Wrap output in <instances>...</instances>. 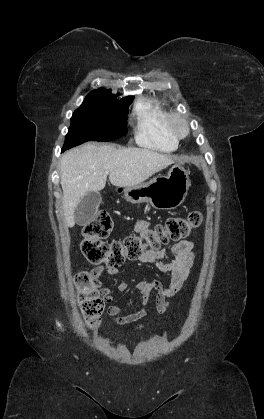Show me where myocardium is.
<instances>
[{"mask_svg": "<svg viewBox=\"0 0 264 419\" xmlns=\"http://www.w3.org/2000/svg\"><path fill=\"white\" fill-rule=\"evenodd\" d=\"M166 125L169 134L176 140L184 139L189 134V124L186 118L176 112L168 113Z\"/></svg>", "mask_w": 264, "mask_h": 419, "instance_id": "myocardium-1", "label": "myocardium"}]
</instances>
